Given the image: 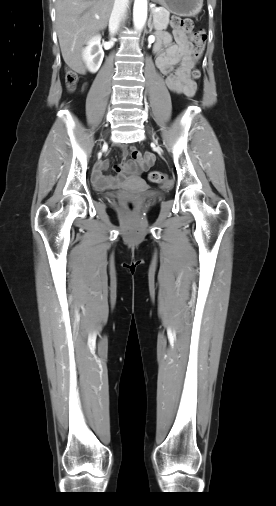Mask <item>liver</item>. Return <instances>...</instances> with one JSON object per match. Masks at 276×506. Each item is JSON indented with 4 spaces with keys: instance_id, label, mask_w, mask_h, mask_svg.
<instances>
[{
    "instance_id": "1",
    "label": "liver",
    "mask_w": 276,
    "mask_h": 506,
    "mask_svg": "<svg viewBox=\"0 0 276 506\" xmlns=\"http://www.w3.org/2000/svg\"><path fill=\"white\" fill-rule=\"evenodd\" d=\"M114 0H57L56 29L68 67L84 74L82 47L91 34L108 24Z\"/></svg>"
}]
</instances>
